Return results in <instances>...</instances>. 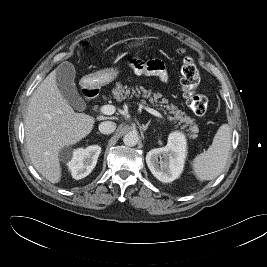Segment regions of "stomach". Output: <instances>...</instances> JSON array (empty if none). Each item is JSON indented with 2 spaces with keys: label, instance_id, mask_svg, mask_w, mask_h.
<instances>
[{
  "label": "stomach",
  "instance_id": "obj_1",
  "mask_svg": "<svg viewBox=\"0 0 267 267\" xmlns=\"http://www.w3.org/2000/svg\"><path fill=\"white\" fill-rule=\"evenodd\" d=\"M146 45L144 40H135L128 44L129 47H141ZM119 74L117 67L104 68L85 77L88 86L100 88L112 82Z\"/></svg>",
  "mask_w": 267,
  "mask_h": 267
}]
</instances>
